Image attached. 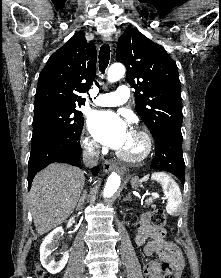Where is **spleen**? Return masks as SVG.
<instances>
[{"label": "spleen", "instance_id": "1", "mask_svg": "<svg viewBox=\"0 0 221 278\" xmlns=\"http://www.w3.org/2000/svg\"><path fill=\"white\" fill-rule=\"evenodd\" d=\"M148 179L149 175H145L141 181H147ZM151 179L159 182L163 188L164 195L167 198L166 212L170 215H177L182 203V195L177 183L164 172L153 173Z\"/></svg>", "mask_w": 221, "mask_h": 278}]
</instances>
